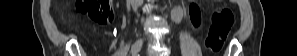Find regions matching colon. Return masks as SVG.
Returning a JSON list of instances; mask_svg holds the SVG:
<instances>
[{"label":"colon","mask_w":297,"mask_h":56,"mask_svg":"<svg viewBox=\"0 0 297 56\" xmlns=\"http://www.w3.org/2000/svg\"><path fill=\"white\" fill-rule=\"evenodd\" d=\"M77 8L100 24H106L113 18L111 0H78ZM233 11L226 7H217L212 15L211 26L206 39V48L211 52H218L226 40L234 23Z\"/></svg>","instance_id":"obj_1"}]
</instances>
